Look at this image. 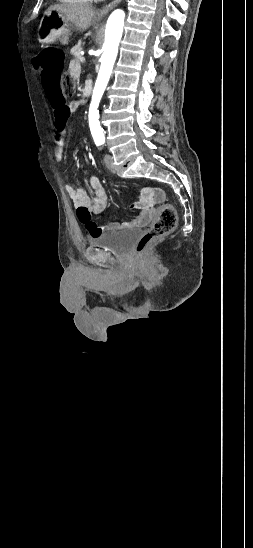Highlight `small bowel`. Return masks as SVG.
<instances>
[{
    "label": "small bowel",
    "mask_w": 253,
    "mask_h": 548,
    "mask_svg": "<svg viewBox=\"0 0 253 548\" xmlns=\"http://www.w3.org/2000/svg\"><path fill=\"white\" fill-rule=\"evenodd\" d=\"M80 72V65L76 61H71L68 66V73L77 78ZM47 92V91H46ZM84 104L83 100H78L71 103L68 108V114L71 111L81 107ZM55 109L57 105H52ZM55 111V117H56ZM57 118V117H56ZM67 128L66 126H58L56 123V133L54 141L56 148L54 155L57 161H61L64 158V148L66 143ZM89 182L94 189L92 195H88L83 189L75 187L73 185L66 186V192L77 208V217L81 223L86 226L87 231L91 236H97L109 231L120 230L124 228H130L135 226H142L147 224L154 216L155 210L153 208V196L157 198H163V193L160 189L145 188L140 198L133 204L132 208L138 211V216L131 220L122 223L111 222L105 225H97L92 221L91 214H102L108 207L109 195L107 190L102 186L99 179L95 176H90Z\"/></svg>",
    "instance_id": "1"
}]
</instances>
